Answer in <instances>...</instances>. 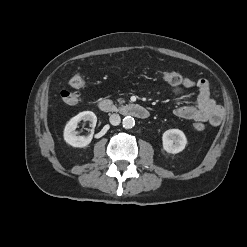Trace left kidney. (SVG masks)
Instances as JSON below:
<instances>
[{"mask_svg":"<svg viewBox=\"0 0 247 247\" xmlns=\"http://www.w3.org/2000/svg\"><path fill=\"white\" fill-rule=\"evenodd\" d=\"M162 144L166 152L176 154L184 150L187 139L183 131L169 129L163 133Z\"/></svg>","mask_w":247,"mask_h":247,"instance_id":"1","label":"left kidney"}]
</instances>
